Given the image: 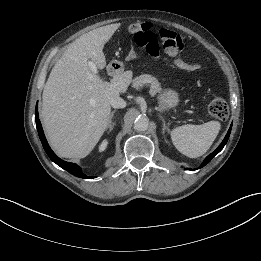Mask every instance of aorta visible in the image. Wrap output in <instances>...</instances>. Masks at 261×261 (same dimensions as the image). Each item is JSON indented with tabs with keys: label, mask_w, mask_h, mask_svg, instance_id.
<instances>
[{
	"label": "aorta",
	"mask_w": 261,
	"mask_h": 261,
	"mask_svg": "<svg viewBox=\"0 0 261 261\" xmlns=\"http://www.w3.org/2000/svg\"><path fill=\"white\" fill-rule=\"evenodd\" d=\"M149 126V120L146 117H138L136 118V120L134 121V128L136 131L139 132H143L146 131L148 129Z\"/></svg>",
	"instance_id": "obj_1"
}]
</instances>
